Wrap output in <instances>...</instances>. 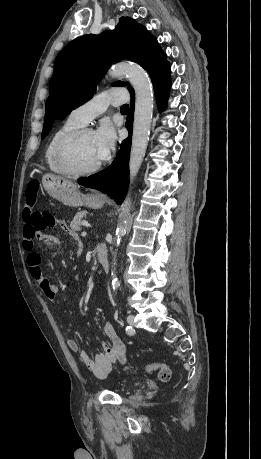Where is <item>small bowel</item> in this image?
<instances>
[{"label": "small bowel", "mask_w": 261, "mask_h": 459, "mask_svg": "<svg viewBox=\"0 0 261 459\" xmlns=\"http://www.w3.org/2000/svg\"><path fill=\"white\" fill-rule=\"evenodd\" d=\"M25 218V217H24ZM60 226L78 243L81 252V244L78 236L67 227L65 222L60 221ZM35 238H23V248L28 252L27 265L31 277L37 282L43 294L51 301L57 300L58 286L45 276L41 270V256L34 250L35 243L41 242L46 248H53L60 244V238L54 234L46 232H36ZM103 332L108 341L102 344L103 351L95 355L92 359L88 353L79 349V344L74 339L67 341L68 347L73 352H78L80 360L98 377H105L112 370V365L116 361L124 362L126 349L111 322H105Z\"/></svg>", "instance_id": "small-bowel-1"}]
</instances>
